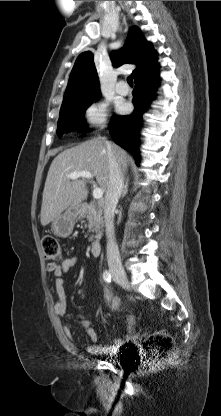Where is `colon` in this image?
<instances>
[{
	"label": "colon",
	"mask_w": 221,
	"mask_h": 416,
	"mask_svg": "<svg viewBox=\"0 0 221 416\" xmlns=\"http://www.w3.org/2000/svg\"><path fill=\"white\" fill-rule=\"evenodd\" d=\"M44 255L48 260L58 261L61 258V247L58 240L52 236L42 238ZM174 347L172 337L164 332H154L143 342L147 361L163 359Z\"/></svg>",
	"instance_id": "obj_1"
}]
</instances>
